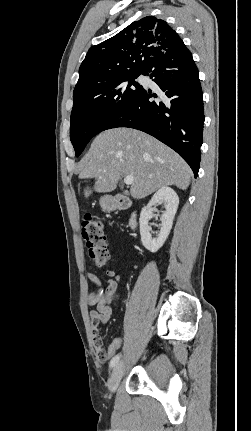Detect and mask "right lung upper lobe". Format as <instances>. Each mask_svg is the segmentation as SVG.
<instances>
[{
    "label": "right lung upper lobe",
    "mask_w": 251,
    "mask_h": 431,
    "mask_svg": "<svg viewBox=\"0 0 251 431\" xmlns=\"http://www.w3.org/2000/svg\"><path fill=\"white\" fill-rule=\"evenodd\" d=\"M181 45L183 41L164 20L147 16L135 21L89 49L79 68L73 95L126 74L145 72L166 50Z\"/></svg>",
    "instance_id": "obj_1"
}]
</instances>
